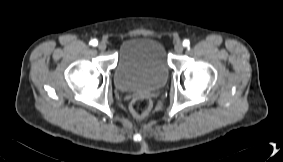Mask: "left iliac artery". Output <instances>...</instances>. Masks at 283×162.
<instances>
[{"mask_svg":"<svg viewBox=\"0 0 283 162\" xmlns=\"http://www.w3.org/2000/svg\"><path fill=\"white\" fill-rule=\"evenodd\" d=\"M189 45H190L189 40L185 39V40L183 41V46L188 47Z\"/></svg>","mask_w":283,"mask_h":162,"instance_id":"1","label":"left iliac artery"}]
</instances>
